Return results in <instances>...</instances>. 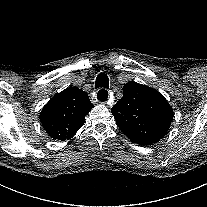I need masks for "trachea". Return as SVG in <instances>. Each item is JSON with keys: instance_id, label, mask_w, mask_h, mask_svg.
I'll use <instances>...</instances> for the list:
<instances>
[{"instance_id": "trachea-1", "label": "trachea", "mask_w": 207, "mask_h": 207, "mask_svg": "<svg viewBox=\"0 0 207 207\" xmlns=\"http://www.w3.org/2000/svg\"><path fill=\"white\" fill-rule=\"evenodd\" d=\"M103 87L104 89L99 91L98 99L100 101L108 100V92L105 89L109 88V79L108 76L104 73H101L96 78V88Z\"/></svg>"}]
</instances>
